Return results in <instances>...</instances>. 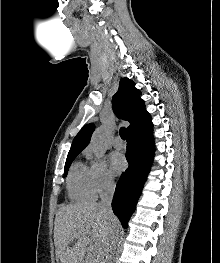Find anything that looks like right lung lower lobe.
<instances>
[{
	"mask_svg": "<svg viewBox=\"0 0 220 263\" xmlns=\"http://www.w3.org/2000/svg\"><path fill=\"white\" fill-rule=\"evenodd\" d=\"M154 152L152 127L127 136L128 169L122 173L112 201L114 214L127 228L137 200L146 181Z\"/></svg>",
	"mask_w": 220,
	"mask_h": 263,
	"instance_id": "right-lung-lower-lobe-1",
	"label": "right lung lower lobe"
}]
</instances>
